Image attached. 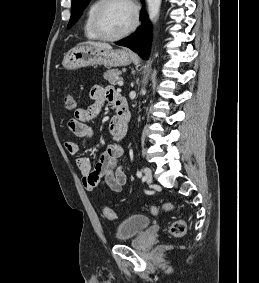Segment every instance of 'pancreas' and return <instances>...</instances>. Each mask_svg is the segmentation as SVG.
<instances>
[{"label":"pancreas","mask_w":259,"mask_h":283,"mask_svg":"<svg viewBox=\"0 0 259 283\" xmlns=\"http://www.w3.org/2000/svg\"><path fill=\"white\" fill-rule=\"evenodd\" d=\"M121 74V71L116 69V70H108L107 72L104 73L103 77L108 80V82L111 85H115V83L118 81V77Z\"/></svg>","instance_id":"1"}]
</instances>
